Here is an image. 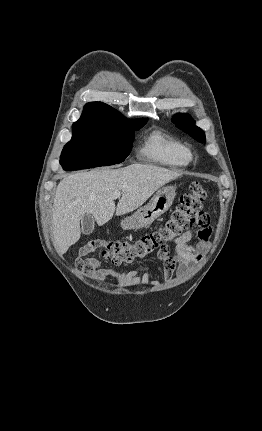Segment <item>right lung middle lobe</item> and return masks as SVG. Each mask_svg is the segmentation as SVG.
<instances>
[{"label":"right lung middle lobe","instance_id":"right-lung-middle-lobe-1","mask_svg":"<svg viewBox=\"0 0 262 431\" xmlns=\"http://www.w3.org/2000/svg\"><path fill=\"white\" fill-rule=\"evenodd\" d=\"M148 119H120L100 124H73L72 139L65 145L60 164L66 171L121 163L129 155L134 131Z\"/></svg>","mask_w":262,"mask_h":431}]
</instances>
